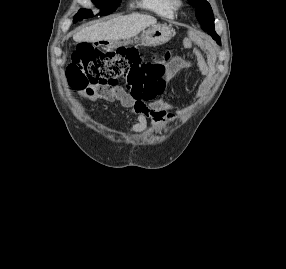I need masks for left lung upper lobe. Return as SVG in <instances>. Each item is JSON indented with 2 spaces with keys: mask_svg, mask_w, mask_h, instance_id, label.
<instances>
[{
  "mask_svg": "<svg viewBox=\"0 0 286 269\" xmlns=\"http://www.w3.org/2000/svg\"><path fill=\"white\" fill-rule=\"evenodd\" d=\"M188 2L196 8L195 14L201 22L202 29L220 43V38L214 30V16L210 4L206 0H188Z\"/></svg>",
  "mask_w": 286,
  "mask_h": 269,
  "instance_id": "1",
  "label": "left lung upper lobe"
}]
</instances>
